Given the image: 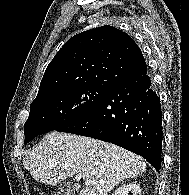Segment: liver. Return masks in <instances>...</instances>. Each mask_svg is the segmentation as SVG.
<instances>
[{
  "label": "liver",
  "instance_id": "liver-1",
  "mask_svg": "<svg viewBox=\"0 0 189 195\" xmlns=\"http://www.w3.org/2000/svg\"><path fill=\"white\" fill-rule=\"evenodd\" d=\"M38 182L55 186L65 178L80 175L89 185L79 195H107L121 181L146 170L142 157L111 143L90 137L53 131L29 151L23 161Z\"/></svg>",
  "mask_w": 189,
  "mask_h": 195
}]
</instances>
